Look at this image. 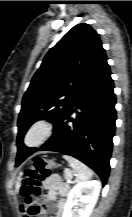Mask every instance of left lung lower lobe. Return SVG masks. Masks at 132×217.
Instances as JSON below:
<instances>
[{"label": "left lung lower lobe", "mask_w": 132, "mask_h": 217, "mask_svg": "<svg viewBox=\"0 0 132 217\" xmlns=\"http://www.w3.org/2000/svg\"><path fill=\"white\" fill-rule=\"evenodd\" d=\"M116 98L107 60L74 99L50 139L32 153L17 140L16 166L38 151H57L77 158L106 184L115 133Z\"/></svg>", "instance_id": "obj_1"}]
</instances>
